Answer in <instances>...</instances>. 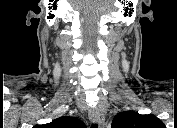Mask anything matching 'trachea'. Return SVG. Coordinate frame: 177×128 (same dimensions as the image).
<instances>
[{"label":"trachea","mask_w":177,"mask_h":128,"mask_svg":"<svg viewBox=\"0 0 177 128\" xmlns=\"http://www.w3.org/2000/svg\"><path fill=\"white\" fill-rule=\"evenodd\" d=\"M90 128H98V124H97V123H94V124L91 125Z\"/></svg>","instance_id":"3493384b"}]
</instances>
